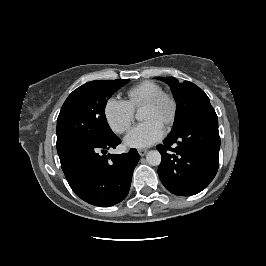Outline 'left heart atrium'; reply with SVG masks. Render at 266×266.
<instances>
[{
  "label": "left heart atrium",
  "instance_id": "obj_1",
  "mask_svg": "<svg viewBox=\"0 0 266 266\" xmlns=\"http://www.w3.org/2000/svg\"><path fill=\"white\" fill-rule=\"evenodd\" d=\"M163 136V124L156 119H149L131 129L125 137V144L133 148H144L156 143Z\"/></svg>",
  "mask_w": 266,
  "mask_h": 266
}]
</instances>
